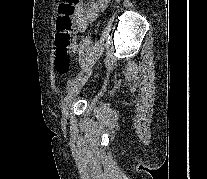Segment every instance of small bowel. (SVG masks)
Here are the masks:
<instances>
[{
    "instance_id": "1",
    "label": "small bowel",
    "mask_w": 207,
    "mask_h": 179,
    "mask_svg": "<svg viewBox=\"0 0 207 179\" xmlns=\"http://www.w3.org/2000/svg\"><path fill=\"white\" fill-rule=\"evenodd\" d=\"M109 0H88L86 4L78 5L74 15L76 29L83 32L87 29L88 24L105 9ZM79 48L77 40L71 46V52L76 53Z\"/></svg>"
}]
</instances>
